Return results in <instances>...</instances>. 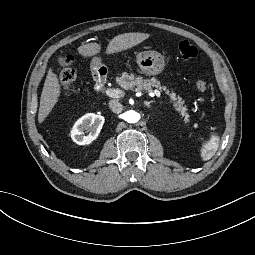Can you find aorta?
Returning a JSON list of instances; mask_svg holds the SVG:
<instances>
[{
    "mask_svg": "<svg viewBox=\"0 0 255 255\" xmlns=\"http://www.w3.org/2000/svg\"><path fill=\"white\" fill-rule=\"evenodd\" d=\"M124 119L128 123H136L140 119V115L136 111L129 110L125 112Z\"/></svg>",
    "mask_w": 255,
    "mask_h": 255,
    "instance_id": "762f6f07",
    "label": "aorta"
}]
</instances>
